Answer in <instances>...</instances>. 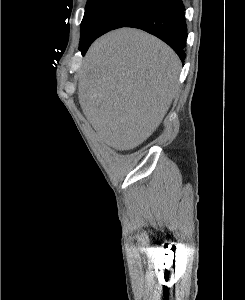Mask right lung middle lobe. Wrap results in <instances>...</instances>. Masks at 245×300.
<instances>
[{"mask_svg": "<svg viewBox=\"0 0 245 300\" xmlns=\"http://www.w3.org/2000/svg\"><path fill=\"white\" fill-rule=\"evenodd\" d=\"M156 0H88L81 23L80 47L104 33L124 27L156 4Z\"/></svg>", "mask_w": 245, "mask_h": 300, "instance_id": "right-lung-middle-lobe-1", "label": "right lung middle lobe"}]
</instances>
